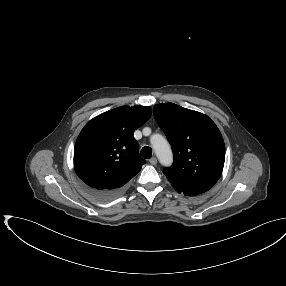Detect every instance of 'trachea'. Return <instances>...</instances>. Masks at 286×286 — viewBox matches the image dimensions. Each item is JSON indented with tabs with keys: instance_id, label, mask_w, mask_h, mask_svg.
Listing matches in <instances>:
<instances>
[{
	"instance_id": "3493384b",
	"label": "trachea",
	"mask_w": 286,
	"mask_h": 286,
	"mask_svg": "<svg viewBox=\"0 0 286 286\" xmlns=\"http://www.w3.org/2000/svg\"><path fill=\"white\" fill-rule=\"evenodd\" d=\"M141 155L145 159H150L151 156H152V149L150 147H148V146H144L141 149Z\"/></svg>"
}]
</instances>
